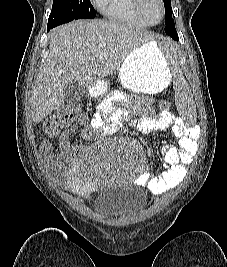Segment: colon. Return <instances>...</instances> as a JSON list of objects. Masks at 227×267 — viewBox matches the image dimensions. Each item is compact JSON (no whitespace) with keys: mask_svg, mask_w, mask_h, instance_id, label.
Here are the masks:
<instances>
[{"mask_svg":"<svg viewBox=\"0 0 227 267\" xmlns=\"http://www.w3.org/2000/svg\"><path fill=\"white\" fill-rule=\"evenodd\" d=\"M159 109H172V101L161 100ZM81 111L82 107L80 105H74L50 115L43 124V133L50 138L58 136L76 120Z\"/></svg>","mask_w":227,"mask_h":267,"instance_id":"colon-1","label":"colon"}]
</instances>
